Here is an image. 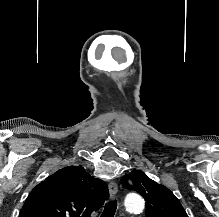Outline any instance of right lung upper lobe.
<instances>
[{
	"instance_id": "obj_1",
	"label": "right lung upper lobe",
	"mask_w": 219,
	"mask_h": 217,
	"mask_svg": "<svg viewBox=\"0 0 219 217\" xmlns=\"http://www.w3.org/2000/svg\"><path fill=\"white\" fill-rule=\"evenodd\" d=\"M108 197L104 181L82 166H69L34 187L19 217H89Z\"/></svg>"
}]
</instances>
